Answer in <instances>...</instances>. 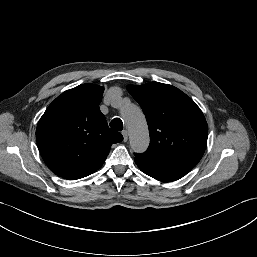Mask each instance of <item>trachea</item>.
<instances>
[{"label":"trachea","mask_w":257,"mask_h":257,"mask_svg":"<svg viewBox=\"0 0 257 257\" xmlns=\"http://www.w3.org/2000/svg\"><path fill=\"white\" fill-rule=\"evenodd\" d=\"M110 127L117 131H122L123 129V122L119 118H115L110 122Z\"/></svg>","instance_id":"3493384b"}]
</instances>
